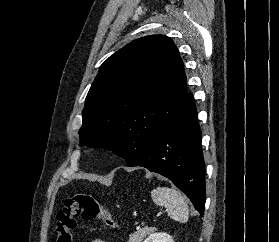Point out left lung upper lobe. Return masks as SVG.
Listing matches in <instances>:
<instances>
[{"label":"left lung upper lobe","mask_w":279,"mask_h":242,"mask_svg":"<svg viewBox=\"0 0 279 242\" xmlns=\"http://www.w3.org/2000/svg\"><path fill=\"white\" fill-rule=\"evenodd\" d=\"M189 95L173 41L136 39L101 65L82 112L80 145L112 150L128 163L174 120Z\"/></svg>","instance_id":"5c2ea615"}]
</instances>
